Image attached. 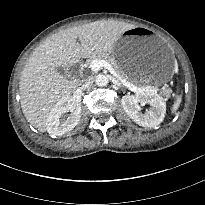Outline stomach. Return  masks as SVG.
<instances>
[{
	"instance_id": "stomach-1",
	"label": "stomach",
	"mask_w": 205,
	"mask_h": 205,
	"mask_svg": "<svg viewBox=\"0 0 205 205\" xmlns=\"http://www.w3.org/2000/svg\"><path fill=\"white\" fill-rule=\"evenodd\" d=\"M120 70L135 84L167 81L175 58L167 43L153 30L135 26L122 33L110 51Z\"/></svg>"
}]
</instances>
